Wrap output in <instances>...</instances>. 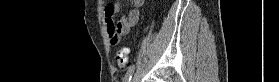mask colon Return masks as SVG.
<instances>
[{"instance_id":"5ec220e1","label":"colon","mask_w":279,"mask_h":82,"mask_svg":"<svg viewBox=\"0 0 279 82\" xmlns=\"http://www.w3.org/2000/svg\"><path fill=\"white\" fill-rule=\"evenodd\" d=\"M129 53H130V48L127 46H122L117 50L114 59L116 65L119 68L124 69L127 66L129 60Z\"/></svg>"}]
</instances>
